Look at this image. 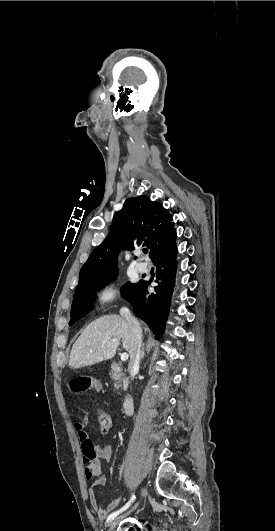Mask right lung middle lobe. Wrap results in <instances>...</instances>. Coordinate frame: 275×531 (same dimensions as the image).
<instances>
[{"label":"right lung middle lobe","mask_w":275,"mask_h":531,"mask_svg":"<svg viewBox=\"0 0 275 531\" xmlns=\"http://www.w3.org/2000/svg\"><path fill=\"white\" fill-rule=\"evenodd\" d=\"M117 275L118 271L115 270L113 272L90 279L81 287L76 289L71 306V320L69 322L70 326L87 314L88 309L92 307L91 303L94 302V293L104 288L105 284H107L110 280H113ZM134 285V283L127 282L123 286L122 295L125 299Z\"/></svg>","instance_id":"obj_1"}]
</instances>
